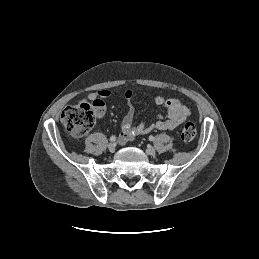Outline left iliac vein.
<instances>
[{"mask_svg":"<svg viewBox=\"0 0 259 259\" xmlns=\"http://www.w3.org/2000/svg\"><path fill=\"white\" fill-rule=\"evenodd\" d=\"M146 153H147L148 155H155L156 150H155L154 147L148 146V147L146 148Z\"/></svg>","mask_w":259,"mask_h":259,"instance_id":"obj_1","label":"left iliac vein"}]
</instances>
